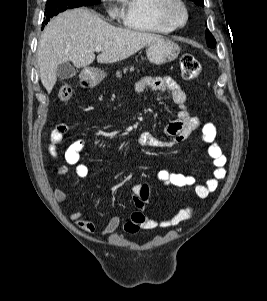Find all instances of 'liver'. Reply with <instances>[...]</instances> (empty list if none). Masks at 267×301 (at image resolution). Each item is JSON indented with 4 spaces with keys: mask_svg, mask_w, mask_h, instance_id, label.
<instances>
[{
    "mask_svg": "<svg viewBox=\"0 0 267 301\" xmlns=\"http://www.w3.org/2000/svg\"><path fill=\"white\" fill-rule=\"evenodd\" d=\"M162 39L160 35L118 28L86 8L67 10L54 17L44 29L37 48L40 79L50 93L57 82V67L72 62L86 68L95 60V47L102 53L97 62L115 63Z\"/></svg>",
    "mask_w": 267,
    "mask_h": 301,
    "instance_id": "obj_1",
    "label": "liver"
}]
</instances>
